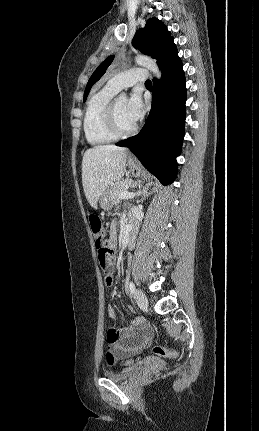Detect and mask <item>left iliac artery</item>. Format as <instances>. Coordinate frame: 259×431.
I'll use <instances>...</instances> for the list:
<instances>
[{
    "instance_id": "left-iliac-artery-1",
    "label": "left iliac artery",
    "mask_w": 259,
    "mask_h": 431,
    "mask_svg": "<svg viewBox=\"0 0 259 431\" xmlns=\"http://www.w3.org/2000/svg\"><path fill=\"white\" fill-rule=\"evenodd\" d=\"M129 290H130L131 294H134V292H135V285L131 281L129 282Z\"/></svg>"
}]
</instances>
